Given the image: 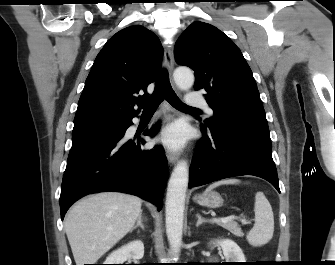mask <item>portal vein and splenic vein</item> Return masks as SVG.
Masks as SVG:
<instances>
[{
	"label": "portal vein and splenic vein",
	"mask_w": 335,
	"mask_h": 265,
	"mask_svg": "<svg viewBox=\"0 0 335 265\" xmlns=\"http://www.w3.org/2000/svg\"><path fill=\"white\" fill-rule=\"evenodd\" d=\"M233 219H235V217L234 216H230V217H224V218L214 219V221H216V222H222V223H227L228 221H231ZM240 220H241V222L243 224H247V221L245 219H240Z\"/></svg>",
	"instance_id": "1"
}]
</instances>
